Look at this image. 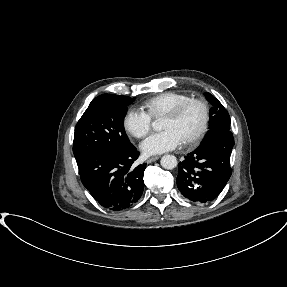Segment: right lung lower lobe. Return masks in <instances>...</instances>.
Instances as JSON below:
<instances>
[{
  "label": "right lung lower lobe",
  "instance_id": "right-lung-lower-lobe-1",
  "mask_svg": "<svg viewBox=\"0 0 287 287\" xmlns=\"http://www.w3.org/2000/svg\"><path fill=\"white\" fill-rule=\"evenodd\" d=\"M135 147L127 151L102 150L78 164L82 184L105 209L121 211L136 203L144 189L146 163L134 167Z\"/></svg>",
  "mask_w": 287,
  "mask_h": 287
}]
</instances>
